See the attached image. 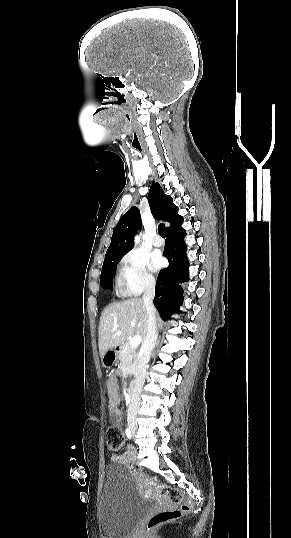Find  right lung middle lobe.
Listing matches in <instances>:
<instances>
[{
    "label": "right lung middle lobe",
    "instance_id": "dd1d6c3e",
    "mask_svg": "<svg viewBox=\"0 0 291 538\" xmlns=\"http://www.w3.org/2000/svg\"><path fill=\"white\" fill-rule=\"evenodd\" d=\"M120 258L105 261L103 263L102 271H101V277H100V283L102 287L113 290L112 286V279L114 275V271L116 268L117 263L120 261Z\"/></svg>",
    "mask_w": 291,
    "mask_h": 538
}]
</instances>
